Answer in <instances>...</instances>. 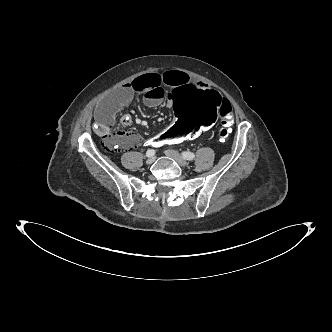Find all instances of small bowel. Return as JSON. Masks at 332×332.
<instances>
[{
  "label": "small bowel",
  "mask_w": 332,
  "mask_h": 332,
  "mask_svg": "<svg viewBox=\"0 0 332 332\" xmlns=\"http://www.w3.org/2000/svg\"><path fill=\"white\" fill-rule=\"evenodd\" d=\"M188 82L201 83L191 79L186 73L178 70H167L163 73L152 72L140 75L102 100L96 107L94 115L95 120L100 127H104L107 117L114 114L123 105L128 103L135 93L144 94V102L147 106H159L165 98H170V92L174 88ZM120 123L123 127H127L131 124V119L129 117H122ZM99 131L101 132V130ZM208 132L209 130L206 133ZM120 136L123 145L127 148L133 147L141 141L138 135L129 132H121ZM146 141L149 142V139ZM149 145L153 144L149 142Z\"/></svg>",
  "instance_id": "1"
}]
</instances>
